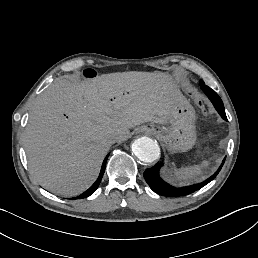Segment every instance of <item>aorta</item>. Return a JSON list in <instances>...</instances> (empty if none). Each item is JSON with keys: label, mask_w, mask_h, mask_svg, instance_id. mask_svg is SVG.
Here are the masks:
<instances>
[{"label": "aorta", "mask_w": 258, "mask_h": 258, "mask_svg": "<svg viewBox=\"0 0 258 258\" xmlns=\"http://www.w3.org/2000/svg\"><path fill=\"white\" fill-rule=\"evenodd\" d=\"M134 155L144 163H152L160 156V147L149 137H141L132 144Z\"/></svg>", "instance_id": "1"}]
</instances>
